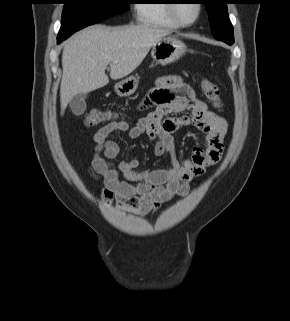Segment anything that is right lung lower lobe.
Segmentation results:
<instances>
[{"instance_id":"right-lung-lower-lobe-1","label":"right lung lower lobe","mask_w":290,"mask_h":321,"mask_svg":"<svg viewBox=\"0 0 290 321\" xmlns=\"http://www.w3.org/2000/svg\"><path fill=\"white\" fill-rule=\"evenodd\" d=\"M62 40H64V39H60V38H58V43H60Z\"/></svg>"}]
</instances>
